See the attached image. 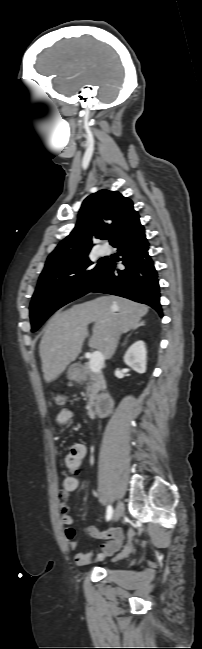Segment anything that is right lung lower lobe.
<instances>
[{
  "instance_id": "obj_1",
  "label": "right lung lower lobe",
  "mask_w": 202,
  "mask_h": 649,
  "mask_svg": "<svg viewBox=\"0 0 202 649\" xmlns=\"http://www.w3.org/2000/svg\"><path fill=\"white\" fill-rule=\"evenodd\" d=\"M113 246L118 249L126 268L119 270L115 261L106 260L88 292L118 295L147 304L162 317L158 274L148 253L149 243L144 229Z\"/></svg>"
}]
</instances>
